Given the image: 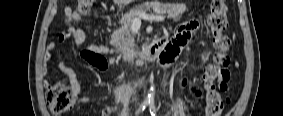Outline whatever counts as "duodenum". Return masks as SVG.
I'll list each match as a JSON object with an SVG mask.
<instances>
[{
  "mask_svg": "<svg viewBox=\"0 0 283 116\" xmlns=\"http://www.w3.org/2000/svg\"><path fill=\"white\" fill-rule=\"evenodd\" d=\"M163 41H156L150 45H148L143 51L137 53L136 55L128 54L126 58L128 60H142V61H152L156 58H162L163 54ZM174 58V57H173ZM173 58L168 57L165 59V64H170L173 61ZM127 88V85L125 84L123 89L125 90Z\"/></svg>",
  "mask_w": 283,
  "mask_h": 116,
  "instance_id": "1",
  "label": "duodenum"
}]
</instances>
